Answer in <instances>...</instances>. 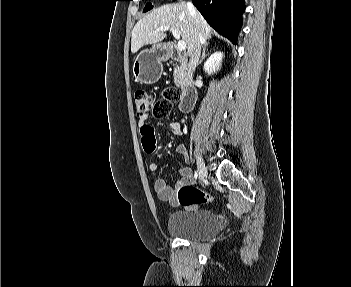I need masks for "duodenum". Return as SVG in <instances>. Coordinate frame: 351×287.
<instances>
[{"label":"duodenum","mask_w":351,"mask_h":287,"mask_svg":"<svg viewBox=\"0 0 351 287\" xmlns=\"http://www.w3.org/2000/svg\"><path fill=\"white\" fill-rule=\"evenodd\" d=\"M158 53L161 57L166 59L180 60L184 66L188 64V58L178 51L175 43L166 44L159 49ZM183 88V99L179 103V110L187 112L191 110L197 99V90L193 82H185Z\"/></svg>","instance_id":"1"}]
</instances>
